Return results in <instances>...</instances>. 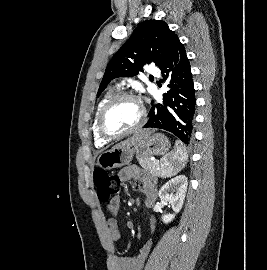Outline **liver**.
<instances>
[{"label":"liver","instance_id":"obj_1","mask_svg":"<svg viewBox=\"0 0 267 270\" xmlns=\"http://www.w3.org/2000/svg\"><path fill=\"white\" fill-rule=\"evenodd\" d=\"M153 133L151 129L140 130L136 132L132 137L120 142L114 147L134 146Z\"/></svg>","mask_w":267,"mask_h":270}]
</instances>
